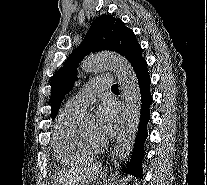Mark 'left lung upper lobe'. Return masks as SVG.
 <instances>
[{
    "mask_svg": "<svg viewBox=\"0 0 207 185\" xmlns=\"http://www.w3.org/2000/svg\"><path fill=\"white\" fill-rule=\"evenodd\" d=\"M115 51L124 56L136 72L147 66L141 56V46L134 32L125 26L119 18L111 15H101L92 25L82 43L68 57L65 65L59 69L51 80L52 107L51 117L54 119L59 111L65 95L73 88L77 79V66L91 51Z\"/></svg>",
    "mask_w": 207,
    "mask_h": 185,
    "instance_id": "5c2ea615",
    "label": "left lung upper lobe"
}]
</instances>
